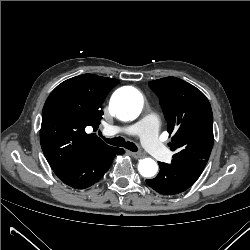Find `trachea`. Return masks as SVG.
Returning a JSON list of instances; mask_svg holds the SVG:
<instances>
[{
    "mask_svg": "<svg viewBox=\"0 0 250 250\" xmlns=\"http://www.w3.org/2000/svg\"><path fill=\"white\" fill-rule=\"evenodd\" d=\"M105 141L113 146H118V147H122L124 146L126 149L136 152L138 150L137 146L129 141H125L124 138L122 137H114V138H105Z\"/></svg>",
    "mask_w": 250,
    "mask_h": 250,
    "instance_id": "trachea-1",
    "label": "trachea"
}]
</instances>
